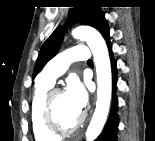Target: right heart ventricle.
Segmentation results:
<instances>
[{"label":"right heart ventricle","instance_id":"e07e8e85","mask_svg":"<svg viewBox=\"0 0 155 141\" xmlns=\"http://www.w3.org/2000/svg\"><path fill=\"white\" fill-rule=\"evenodd\" d=\"M53 84L39 81L34 90L31 102V126L37 141H54L58 136L50 133L42 123V104L45 95Z\"/></svg>","mask_w":155,"mask_h":141}]
</instances>
